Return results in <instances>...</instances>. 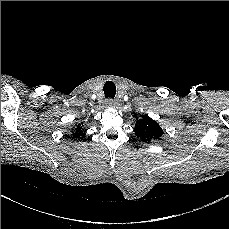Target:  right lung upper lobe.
Instances as JSON below:
<instances>
[{
    "label": "right lung upper lobe",
    "mask_w": 229,
    "mask_h": 229,
    "mask_svg": "<svg viewBox=\"0 0 229 229\" xmlns=\"http://www.w3.org/2000/svg\"><path fill=\"white\" fill-rule=\"evenodd\" d=\"M82 125H77V127L74 129V132L72 134L73 138H79L80 136L84 137L85 136V133H83V131L81 130L82 129Z\"/></svg>",
    "instance_id": "1"
}]
</instances>
